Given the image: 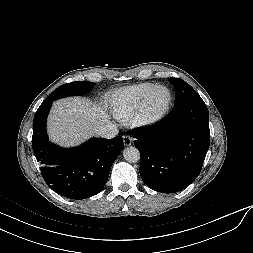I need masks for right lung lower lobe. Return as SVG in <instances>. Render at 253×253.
<instances>
[{"instance_id": "98d812e1", "label": "right lung lower lobe", "mask_w": 253, "mask_h": 253, "mask_svg": "<svg viewBox=\"0 0 253 253\" xmlns=\"http://www.w3.org/2000/svg\"><path fill=\"white\" fill-rule=\"evenodd\" d=\"M53 100H44L34 116L32 148L41 164L47 185L71 199L98 194L106 184L113 162L124 148L121 136L92 138L79 147L65 149L52 144L46 133V119Z\"/></svg>"}]
</instances>
